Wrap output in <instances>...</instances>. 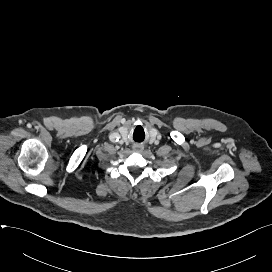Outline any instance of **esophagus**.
<instances>
[{
    "label": "esophagus",
    "instance_id": "esophagus-1",
    "mask_svg": "<svg viewBox=\"0 0 272 272\" xmlns=\"http://www.w3.org/2000/svg\"><path fill=\"white\" fill-rule=\"evenodd\" d=\"M134 150L139 152V151L143 150V147L138 145V146L134 147Z\"/></svg>",
    "mask_w": 272,
    "mask_h": 272
}]
</instances>
